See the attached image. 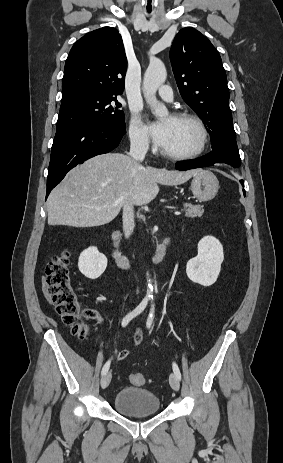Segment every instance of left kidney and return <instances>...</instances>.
<instances>
[{"instance_id":"obj_1","label":"left kidney","mask_w":283,"mask_h":463,"mask_svg":"<svg viewBox=\"0 0 283 463\" xmlns=\"http://www.w3.org/2000/svg\"><path fill=\"white\" fill-rule=\"evenodd\" d=\"M223 260L220 241L213 236H205L198 243V255L187 262V276L194 283L211 286L218 278Z\"/></svg>"}]
</instances>
